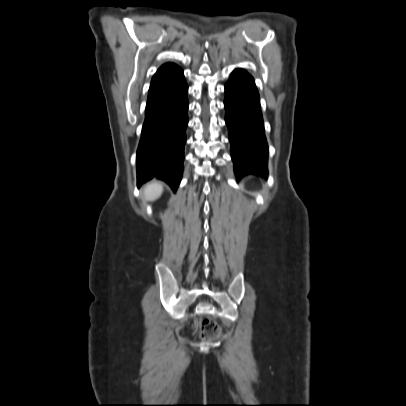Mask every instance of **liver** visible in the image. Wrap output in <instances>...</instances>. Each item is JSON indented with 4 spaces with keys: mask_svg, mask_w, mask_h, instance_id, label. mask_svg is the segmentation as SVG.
I'll return each instance as SVG.
<instances>
[{
    "mask_svg": "<svg viewBox=\"0 0 406 406\" xmlns=\"http://www.w3.org/2000/svg\"><path fill=\"white\" fill-rule=\"evenodd\" d=\"M144 192L147 199H157L162 193V184L158 181H152L146 185Z\"/></svg>",
    "mask_w": 406,
    "mask_h": 406,
    "instance_id": "obj_1",
    "label": "liver"
}]
</instances>
